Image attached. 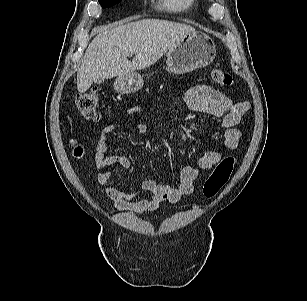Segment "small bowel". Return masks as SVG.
Here are the masks:
<instances>
[{
    "label": "small bowel",
    "instance_id": "1",
    "mask_svg": "<svg viewBox=\"0 0 307 301\" xmlns=\"http://www.w3.org/2000/svg\"><path fill=\"white\" fill-rule=\"evenodd\" d=\"M184 100L188 107L194 111L222 118V124L225 128L223 148L232 151L238 147L241 139L238 126L250 108L249 103L233 102L220 91L204 84L190 87ZM138 111L135 107L129 109L130 114H136ZM114 128L115 126L112 124L103 126L96 141L95 164L98 170L97 180L100 185H105L110 180L114 168L128 169L131 167L130 159L124 155H105L109 146V136ZM135 128L144 135L149 132L144 123H137ZM220 159V151H206L196 165L185 167L181 171L179 183L175 187L155 179L145 180L142 188L152 194L148 198H139L138 193L125 192L113 186L106 187L105 193L116 211L135 214L152 212L157 210L163 202L176 203L182 196L192 194L195 191V183L200 171L212 169Z\"/></svg>",
    "mask_w": 307,
    "mask_h": 301
}]
</instances>
